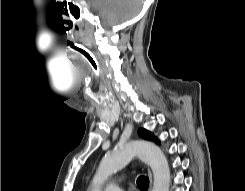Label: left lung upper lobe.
I'll list each match as a JSON object with an SVG mask.
<instances>
[{
    "label": "left lung upper lobe",
    "mask_w": 245,
    "mask_h": 191,
    "mask_svg": "<svg viewBox=\"0 0 245 191\" xmlns=\"http://www.w3.org/2000/svg\"><path fill=\"white\" fill-rule=\"evenodd\" d=\"M138 134L140 137L147 139V140H152L156 143H159V140L149 131L145 130V129H139Z\"/></svg>",
    "instance_id": "1"
}]
</instances>
